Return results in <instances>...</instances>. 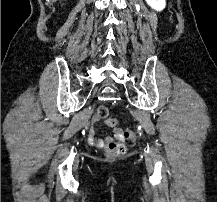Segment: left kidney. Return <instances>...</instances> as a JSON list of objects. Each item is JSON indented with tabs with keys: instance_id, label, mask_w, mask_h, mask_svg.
Here are the masks:
<instances>
[{
	"instance_id": "left-kidney-1",
	"label": "left kidney",
	"mask_w": 217,
	"mask_h": 202,
	"mask_svg": "<svg viewBox=\"0 0 217 202\" xmlns=\"http://www.w3.org/2000/svg\"><path fill=\"white\" fill-rule=\"evenodd\" d=\"M148 6H151L153 10H163L165 8V0H145Z\"/></svg>"
}]
</instances>
